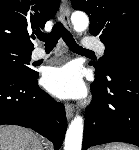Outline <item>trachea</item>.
Wrapping results in <instances>:
<instances>
[{
	"instance_id": "trachea-1",
	"label": "trachea",
	"mask_w": 139,
	"mask_h": 150,
	"mask_svg": "<svg viewBox=\"0 0 139 150\" xmlns=\"http://www.w3.org/2000/svg\"><path fill=\"white\" fill-rule=\"evenodd\" d=\"M62 36L63 40L67 44V46L74 52L78 53H93L90 50L84 49L79 46L76 41L74 40L72 34L66 30V28L60 23L57 22L50 33L48 34H39L38 38L45 42L46 49H53L58 39Z\"/></svg>"
}]
</instances>
